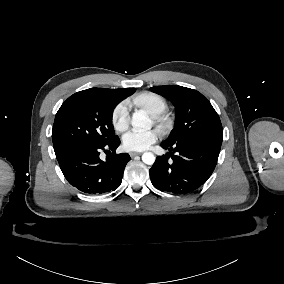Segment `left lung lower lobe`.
<instances>
[{
    "mask_svg": "<svg viewBox=\"0 0 284 284\" xmlns=\"http://www.w3.org/2000/svg\"><path fill=\"white\" fill-rule=\"evenodd\" d=\"M161 146L169 152L158 156L149 170L151 182L157 189L174 194H186L204 184L215 169L221 147L200 140L164 141Z\"/></svg>",
    "mask_w": 284,
    "mask_h": 284,
    "instance_id": "obj_1",
    "label": "left lung lower lobe"
}]
</instances>
